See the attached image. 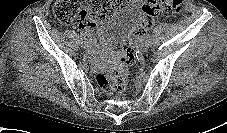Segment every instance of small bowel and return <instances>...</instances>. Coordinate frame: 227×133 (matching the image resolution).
Segmentation results:
<instances>
[{
	"label": "small bowel",
	"instance_id": "small-bowel-1",
	"mask_svg": "<svg viewBox=\"0 0 227 133\" xmlns=\"http://www.w3.org/2000/svg\"><path fill=\"white\" fill-rule=\"evenodd\" d=\"M79 28L82 31V33L90 40V42L94 44V39L92 35H93V30L95 28V24L91 23L87 25V24L79 23ZM141 34L136 33L137 36H140Z\"/></svg>",
	"mask_w": 227,
	"mask_h": 133
}]
</instances>
